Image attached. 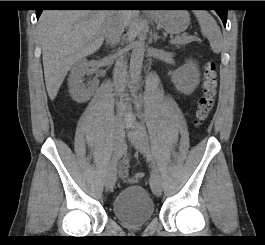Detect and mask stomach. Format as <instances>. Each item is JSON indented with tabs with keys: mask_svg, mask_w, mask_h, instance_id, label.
<instances>
[{
	"mask_svg": "<svg viewBox=\"0 0 265 245\" xmlns=\"http://www.w3.org/2000/svg\"><path fill=\"white\" fill-rule=\"evenodd\" d=\"M156 24L171 34H180L190 24V15L186 10H158L152 13Z\"/></svg>",
	"mask_w": 265,
	"mask_h": 245,
	"instance_id": "0dacf381",
	"label": "stomach"
}]
</instances>
